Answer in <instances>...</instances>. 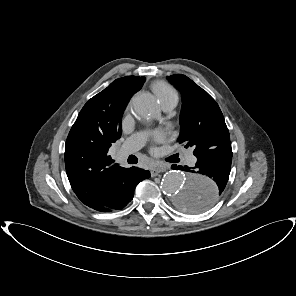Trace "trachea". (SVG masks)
Here are the masks:
<instances>
[{"instance_id": "trachea-1", "label": "trachea", "mask_w": 296, "mask_h": 296, "mask_svg": "<svg viewBox=\"0 0 296 296\" xmlns=\"http://www.w3.org/2000/svg\"><path fill=\"white\" fill-rule=\"evenodd\" d=\"M128 163H130V164H135V163H137V158L134 157V156H129V157H128Z\"/></svg>"}]
</instances>
